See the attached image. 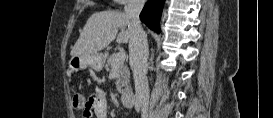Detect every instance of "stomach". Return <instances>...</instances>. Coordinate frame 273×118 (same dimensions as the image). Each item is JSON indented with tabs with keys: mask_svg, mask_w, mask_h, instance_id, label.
Returning <instances> with one entry per match:
<instances>
[{
	"mask_svg": "<svg viewBox=\"0 0 273 118\" xmlns=\"http://www.w3.org/2000/svg\"><path fill=\"white\" fill-rule=\"evenodd\" d=\"M105 60L106 56L99 52L89 55H74L69 60V68L75 72L87 67H91L95 71H101L104 67Z\"/></svg>",
	"mask_w": 273,
	"mask_h": 118,
	"instance_id": "obj_1",
	"label": "stomach"
}]
</instances>
